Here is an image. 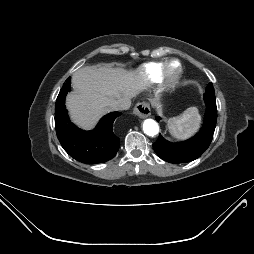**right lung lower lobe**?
Returning a JSON list of instances; mask_svg holds the SVG:
<instances>
[{"label": "right lung lower lobe", "mask_w": 254, "mask_h": 254, "mask_svg": "<svg viewBox=\"0 0 254 254\" xmlns=\"http://www.w3.org/2000/svg\"><path fill=\"white\" fill-rule=\"evenodd\" d=\"M69 77L60 90L55 105V128L58 140L64 150L77 161L86 164L104 163L113 158L120 146L114 134L113 124L120 115L112 112L105 115L92 131H83L71 123L65 96L70 91Z\"/></svg>", "instance_id": "obj_1"}]
</instances>
